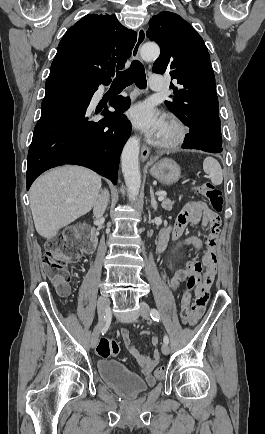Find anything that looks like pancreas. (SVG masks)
<instances>
[{
	"label": "pancreas",
	"mask_w": 265,
	"mask_h": 434,
	"mask_svg": "<svg viewBox=\"0 0 265 434\" xmlns=\"http://www.w3.org/2000/svg\"><path fill=\"white\" fill-rule=\"evenodd\" d=\"M174 202H172V200H168V198H165V200H162V208H164V210H167V212H170V210H172V206H173Z\"/></svg>",
	"instance_id": "pancreas-1"
}]
</instances>
